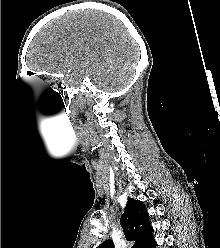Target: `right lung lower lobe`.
I'll return each mask as SVG.
<instances>
[{"instance_id":"right-lung-lower-lobe-1","label":"right lung lower lobe","mask_w":220,"mask_h":248,"mask_svg":"<svg viewBox=\"0 0 220 248\" xmlns=\"http://www.w3.org/2000/svg\"><path fill=\"white\" fill-rule=\"evenodd\" d=\"M149 248H156V242H153V243L149 246Z\"/></svg>"}]
</instances>
